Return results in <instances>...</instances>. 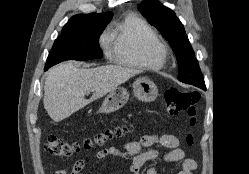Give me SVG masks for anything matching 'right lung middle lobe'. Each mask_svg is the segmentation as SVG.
Segmentation results:
<instances>
[{
  "label": "right lung middle lobe",
  "instance_id": "right-lung-middle-lobe-1",
  "mask_svg": "<svg viewBox=\"0 0 249 174\" xmlns=\"http://www.w3.org/2000/svg\"><path fill=\"white\" fill-rule=\"evenodd\" d=\"M108 22H96L83 28L62 32L55 40L44 70L65 60L85 61L103 56L99 47V35Z\"/></svg>",
  "mask_w": 249,
  "mask_h": 174
}]
</instances>
